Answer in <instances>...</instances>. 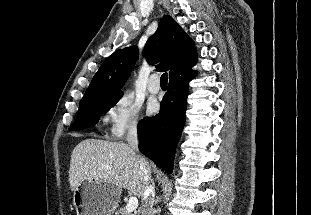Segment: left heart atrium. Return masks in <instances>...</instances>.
Returning <instances> with one entry per match:
<instances>
[{
	"instance_id": "1",
	"label": "left heart atrium",
	"mask_w": 311,
	"mask_h": 215,
	"mask_svg": "<svg viewBox=\"0 0 311 215\" xmlns=\"http://www.w3.org/2000/svg\"><path fill=\"white\" fill-rule=\"evenodd\" d=\"M157 104L156 103H151L150 105H149V107H148V110H149V113H154V112H156V110H157Z\"/></svg>"
}]
</instances>
